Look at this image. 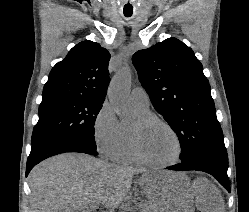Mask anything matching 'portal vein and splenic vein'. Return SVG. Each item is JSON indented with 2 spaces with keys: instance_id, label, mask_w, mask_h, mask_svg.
<instances>
[{
  "instance_id": "portal-vein-and-splenic-vein-1",
  "label": "portal vein and splenic vein",
  "mask_w": 249,
  "mask_h": 212,
  "mask_svg": "<svg viewBox=\"0 0 249 212\" xmlns=\"http://www.w3.org/2000/svg\"><path fill=\"white\" fill-rule=\"evenodd\" d=\"M93 206H95V208H97L98 204H93Z\"/></svg>"
}]
</instances>
